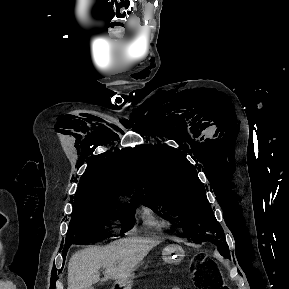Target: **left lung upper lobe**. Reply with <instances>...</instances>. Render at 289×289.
<instances>
[{"label":"left lung upper lobe","instance_id":"5c2ea615","mask_svg":"<svg viewBox=\"0 0 289 289\" xmlns=\"http://www.w3.org/2000/svg\"><path fill=\"white\" fill-rule=\"evenodd\" d=\"M142 182L137 185L140 202L159 216L179 223L193 243L211 242L230 259L225 234L207 200L195 168L174 148L145 145L138 154Z\"/></svg>","mask_w":289,"mask_h":289}]
</instances>
